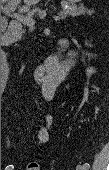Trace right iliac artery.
Segmentation results:
<instances>
[{
	"label": "right iliac artery",
	"mask_w": 109,
	"mask_h": 170,
	"mask_svg": "<svg viewBox=\"0 0 109 170\" xmlns=\"http://www.w3.org/2000/svg\"><path fill=\"white\" fill-rule=\"evenodd\" d=\"M14 169V166L13 165H8L5 170H13Z\"/></svg>",
	"instance_id": "obj_1"
}]
</instances>
